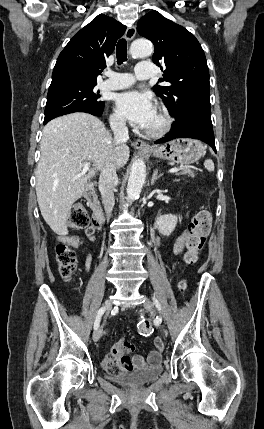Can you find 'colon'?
I'll return each instance as SVG.
<instances>
[{
	"label": "colon",
	"instance_id": "obj_1",
	"mask_svg": "<svg viewBox=\"0 0 264 429\" xmlns=\"http://www.w3.org/2000/svg\"><path fill=\"white\" fill-rule=\"evenodd\" d=\"M212 216L208 210H200L191 220L189 225L190 237L187 241L185 262L187 265L196 263L199 253L204 247L207 235L211 227ZM92 223L89 215L81 203H76L71 208L68 215V225L73 229L88 228ZM56 258L59 266V271L64 279H70L76 269V254L74 250L64 241H59L56 245ZM186 287L185 282L180 284V289L183 291ZM139 332L142 336H149L153 330V323L150 319L142 320L139 325ZM155 348L163 350L164 343L161 338L154 340ZM105 368L113 374L125 372L123 367L110 357L104 362Z\"/></svg>",
	"mask_w": 264,
	"mask_h": 429
}]
</instances>
